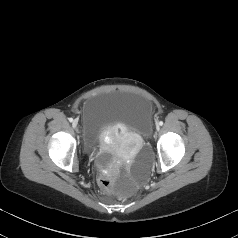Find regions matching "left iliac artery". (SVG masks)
Here are the masks:
<instances>
[{
  "label": "left iliac artery",
  "instance_id": "1",
  "mask_svg": "<svg viewBox=\"0 0 238 238\" xmlns=\"http://www.w3.org/2000/svg\"><path fill=\"white\" fill-rule=\"evenodd\" d=\"M159 125H160V126H162V125H163V122H162V121H160V122H159Z\"/></svg>",
  "mask_w": 238,
  "mask_h": 238
}]
</instances>
